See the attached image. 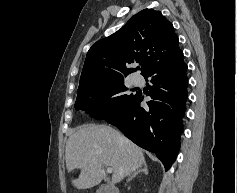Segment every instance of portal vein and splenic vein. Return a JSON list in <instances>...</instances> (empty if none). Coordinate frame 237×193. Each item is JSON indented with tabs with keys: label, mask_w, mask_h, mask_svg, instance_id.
Returning <instances> with one entry per match:
<instances>
[{
	"label": "portal vein and splenic vein",
	"mask_w": 237,
	"mask_h": 193,
	"mask_svg": "<svg viewBox=\"0 0 237 193\" xmlns=\"http://www.w3.org/2000/svg\"><path fill=\"white\" fill-rule=\"evenodd\" d=\"M105 166H106V171H107V173H112V172H113V170H112L111 167H108L107 165H105Z\"/></svg>",
	"instance_id": "18ae733b"
}]
</instances>
